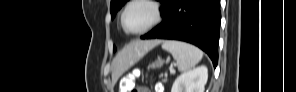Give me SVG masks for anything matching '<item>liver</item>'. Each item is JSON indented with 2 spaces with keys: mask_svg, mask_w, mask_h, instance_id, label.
Returning <instances> with one entry per match:
<instances>
[{
  "mask_svg": "<svg viewBox=\"0 0 296 92\" xmlns=\"http://www.w3.org/2000/svg\"><path fill=\"white\" fill-rule=\"evenodd\" d=\"M159 43V40L134 41L125 46L112 62V83Z\"/></svg>",
  "mask_w": 296,
  "mask_h": 92,
  "instance_id": "liver-1",
  "label": "liver"
}]
</instances>
